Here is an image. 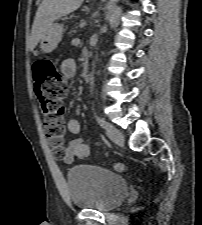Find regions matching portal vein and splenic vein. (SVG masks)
<instances>
[{"label":"portal vein and splenic vein","instance_id":"portal-vein-and-splenic-vein-1","mask_svg":"<svg viewBox=\"0 0 202 225\" xmlns=\"http://www.w3.org/2000/svg\"><path fill=\"white\" fill-rule=\"evenodd\" d=\"M79 42H80L79 39H73V40H72V44H77V43H79Z\"/></svg>","mask_w":202,"mask_h":225}]
</instances>
